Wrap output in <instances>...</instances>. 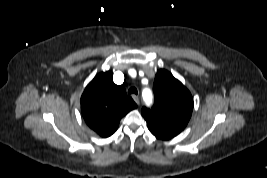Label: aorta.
Listing matches in <instances>:
<instances>
[{"label":"aorta","mask_w":267,"mask_h":178,"mask_svg":"<svg viewBox=\"0 0 267 178\" xmlns=\"http://www.w3.org/2000/svg\"><path fill=\"white\" fill-rule=\"evenodd\" d=\"M143 100L146 105H151L153 102V95L150 89H144L142 92Z\"/></svg>","instance_id":"1"}]
</instances>
